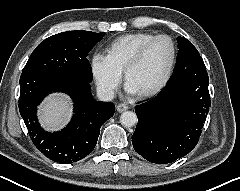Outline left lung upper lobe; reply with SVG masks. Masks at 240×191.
Returning <instances> with one entry per match:
<instances>
[{"instance_id":"left-lung-upper-lobe-1","label":"left lung upper lobe","mask_w":240,"mask_h":191,"mask_svg":"<svg viewBox=\"0 0 240 191\" xmlns=\"http://www.w3.org/2000/svg\"><path fill=\"white\" fill-rule=\"evenodd\" d=\"M177 42L179 52L176 66L182 65L183 68L190 67L206 70L203 59L189 40L186 38L178 37Z\"/></svg>"}]
</instances>
